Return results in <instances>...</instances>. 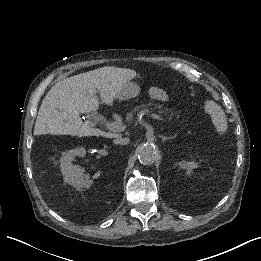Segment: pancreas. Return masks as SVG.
<instances>
[{
    "label": "pancreas",
    "instance_id": "cf45deb5",
    "mask_svg": "<svg viewBox=\"0 0 261 261\" xmlns=\"http://www.w3.org/2000/svg\"><path fill=\"white\" fill-rule=\"evenodd\" d=\"M146 110H154L155 112H159L161 115H165L168 118H171L173 121L178 123L179 125H185L188 122V119L185 116L177 114L171 108H167L166 106H160L158 103H145L142 102L140 105L136 107H132L126 116V120L129 124L134 122V116L137 112Z\"/></svg>",
    "mask_w": 261,
    "mask_h": 261
}]
</instances>
